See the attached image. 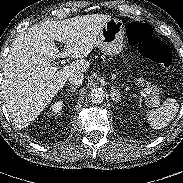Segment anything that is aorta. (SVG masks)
Wrapping results in <instances>:
<instances>
[{"instance_id":"obj_1","label":"aorta","mask_w":183,"mask_h":183,"mask_svg":"<svg viewBox=\"0 0 183 183\" xmlns=\"http://www.w3.org/2000/svg\"><path fill=\"white\" fill-rule=\"evenodd\" d=\"M91 101L95 104H101L104 101L105 94L104 91L100 88L93 89L90 92Z\"/></svg>"}]
</instances>
